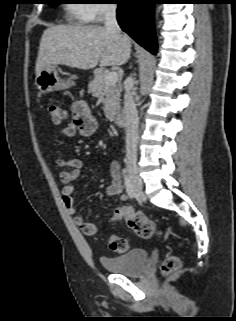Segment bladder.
Masks as SVG:
<instances>
[{"label":"bladder","instance_id":"31cf9c89","mask_svg":"<svg viewBox=\"0 0 236 321\" xmlns=\"http://www.w3.org/2000/svg\"><path fill=\"white\" fill-rule=\"evenodd\" d=\"M148 261V252L137 248L114 257H102L101 264L105 269L116 274L133 276L140 274Z\"/></svg>","mask_w":236,"mask_h":321}]
</instances>
